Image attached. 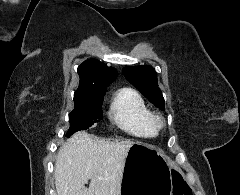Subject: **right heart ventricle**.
I'll return each instance as SVG.
<instances>
[{"label":"right heart ventricle","mask_w":240,"mask_h":195,"mask_svg":"<svg viewBox=\"0 0 240 195\" xmlns=\"http://www.w3.org/2000/svg\"><path fill=\"white\" fill-rule=\"evenodd\" d=\"M108 117L117 128L138 137L156 134L152 114L143 97L133 89L119 91L113 98Z\"/></svg>","instance_id":"e07e8e85"}]
</instances>
